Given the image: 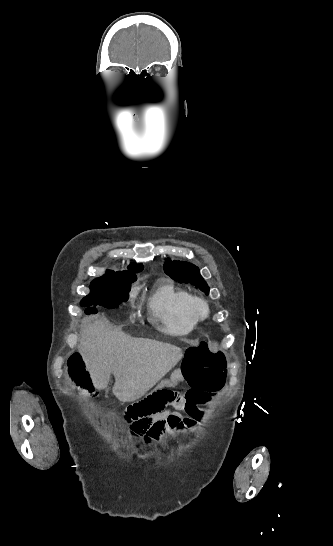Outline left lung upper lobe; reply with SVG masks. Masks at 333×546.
Wrapping results in <instances>:
<instances>
[{
	"mask_svg": "<svg viewBox=\"0 0 333 546\" xmlns=\"http://www.w3.org/2000/svg\"><path fill=\"white\" fill-rule=\"evenodd\" d=\"M164 271L176 281L190 283L206 292V294L209 293V287L200 275L198 267L191 263L167 259L164 264Z\"/></svg>",
	"mask_w": 333,
	"mask_h": 546,
	"instance_id": "1",
	"label": "left lung upper lobe"
}]
</instances>
